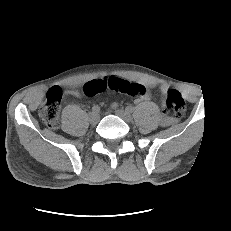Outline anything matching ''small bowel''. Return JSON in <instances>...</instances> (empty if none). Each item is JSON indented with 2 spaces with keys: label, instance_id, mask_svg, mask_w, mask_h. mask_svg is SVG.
Segmentation results:
<instances>
[{
  "label": "small bowel",
  "instance_id": "1",
  "mask_svg": "<svg viewBox=\"0 0 231 231\" xmlns=\"http://www.w3.org/2000/svg\"><path fill=\"white\" fill-rule=\"evenodd\" d=\"M138 84L144 88V93L136 96V101L139 102L142 100H148L150 97L148 88L151 87L153 84L151 82H144V83H138ZM68 94L75 96V97L80 96V93L77 90H70V91H68ZM162 123L164 125H170L173 123V119L166 116L163 118Z\"/></svg>",
  "mask_w": 231,
  "mask_h": 231
}]
</instances>
